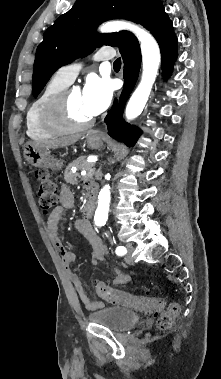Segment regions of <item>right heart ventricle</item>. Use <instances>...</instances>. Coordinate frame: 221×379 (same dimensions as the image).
<instances>
[{"mask_svg":"<svg viewBox=\"0 0 221 379\" xmlns=\"http://www.w3.org/2000/svg\"><path fill=\"white\" fill-rule=\"evenodd\" d=\"M69 83L53 76L45 85L38 97L32 102L26 114V132L33 140H45L54 136L55 132L45 127L42 114L46 104L58 93L67 88Z\"/></svg>","mask_w":221,"mask_h":379,"instance_id":"right-heart-ventricle-1","label":"right heart ventricle"}]
</instances>
